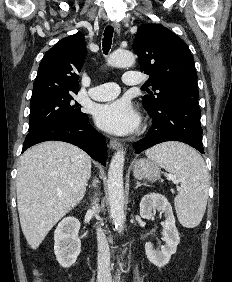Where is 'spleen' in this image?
<instances>
[{
  "mask_svg": "<svg viewBox=\"0 0 232 282\" xmlns=\"http://www.w3.org/2000/svg\"><path fill=\"white\" fill-rule=\"evenodd\" d=\"M146 156L168 172L181 184L174 199L179 222L187 228L198 226L206 210L208 171L203 158L190 147L169 142L146 151Z\"/></svg>",
  "mask_w": 232,
  "mask_h": 282,
  "instance_id": "3e777b00",
  "label": "spleen"
}]
</instances>
